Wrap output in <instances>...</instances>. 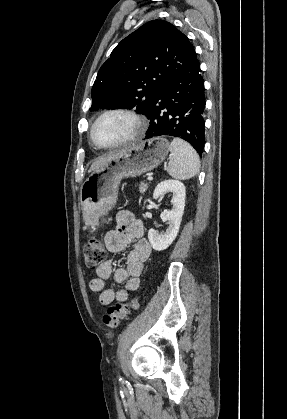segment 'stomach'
Listing matches in <instances>:
<instances>
[{
    "label": "stomach",
    "instance_id": "stomach-1",
    "mask_svg": "<svg viewBox=\"0 0 287 419\" xmlns=\"http://www.w3.org/2000/svg\"><path fill=\"white\" fill-rule=\"evenodd\" d=\"M170 150L163 137H154L128 147L104 163L82 184L80 201L83 215L98 220L116 204L122 179L136 177L159 166Z\"/></svg>",
    "mask_w": 287,
    "mask_h": 419
}]
</instances>
